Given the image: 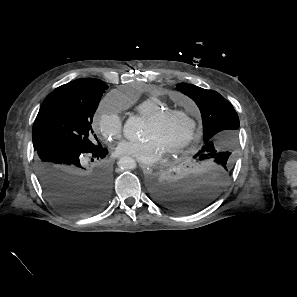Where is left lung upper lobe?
<instances>
[{"instance_id":"5c2ea615","label":"left lung upper lobe","mask_w":297,"mask_h":297,"mask_svg":"<svg viewBox=\"0 0 297 297\" xmlns=\"http://www.w3.org/2000/svg\"><path fill=\"white\" fill-rule=\"evenodd\" d=\"M177 89L193 99L202 114L204 143L195 157L221 158L233 165L239 128L233 106L213 90L187 83L178 84Z\"/></svg>"}]
</instances>
